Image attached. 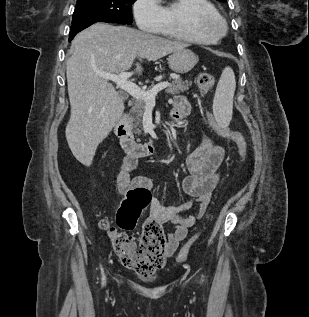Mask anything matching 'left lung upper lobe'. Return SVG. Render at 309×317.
Instances as JSON below:
<instances>
[{
    "label": "left lung upper lobe",
    "instance_id": "left-lung-upper-lobe-1",
    "mask_svg": "<svg viewBox=\"0 0 309 317\" xmlns=\"http://www.w3.org/2000/svg\"><path fill=\"white\" fill-rule=\"evenodd\" d=\"M218 1L226 2L227 0H218Z\"/></svg>",
    "mask_w": 309,
    "mask_h": 317
}]
</instances>
